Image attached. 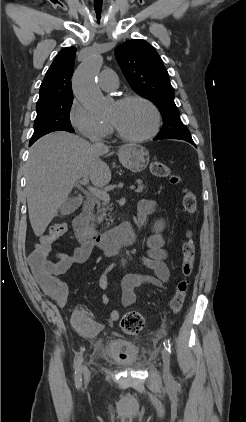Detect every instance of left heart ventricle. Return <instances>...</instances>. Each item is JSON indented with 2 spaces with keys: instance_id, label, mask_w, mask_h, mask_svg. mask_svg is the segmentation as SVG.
Masks as SVG:
<instances>
[{
  "instance_id": "left-heart-ventricle-1",
  "label": "left heart ventricle",
  "mask_w": 246,
  "mask_h": 422,
  "mask_svg": "<svg viewBox=\"0 0 246 422\" xmlns=\"http://www.w3.org/2000/svg\"><path fill=\"white\" fill-rule=\"evenodd\" d=\"M108 120L127 134L140 136L151 130L154 115L151 109L141 102L124 105L115 103L109 112Z\"/></svg>"
}]
</instances>
